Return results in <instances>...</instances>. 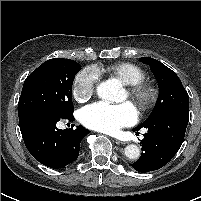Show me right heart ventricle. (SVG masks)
<instances>
[{"mask_svg":"<svg viewBox=\"0 0 201 201\" xmlns=\"http://www.w3.org/2000/svg\"><path fill=\"white\" fill-rule=\"evenodd\" d=\"M98 72L106 71L126 85L135 84L145 79V72L139 66L129 62H119L106 68H96Z\"/></svg>","mask_w":201,"mask_h":201,"instance_id":"obj_1","label":"right heart ventricle"}]
</instances>
